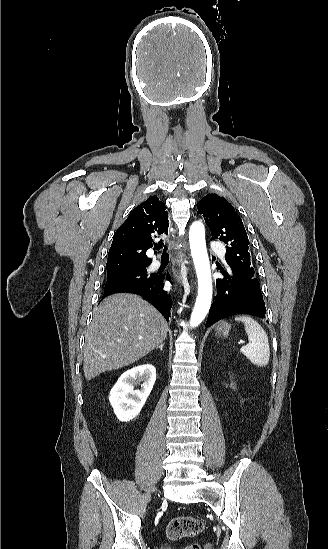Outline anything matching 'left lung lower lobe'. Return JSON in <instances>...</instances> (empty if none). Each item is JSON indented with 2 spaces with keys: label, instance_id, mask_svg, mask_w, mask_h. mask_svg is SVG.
<instances>
[{
  "label": "left lung lower lobe",
  "instance_id": "obj_1",
  "mask_svg": "<svg viewBox=\"0 0 328 549\" xmlns=\"http://www.w3.org/2000/svg\"><path fill=\"white\" fill-rule=\"evenodd\" d=\"M224 278L217 280V295L211 305L206 326L229 316L248 314L264 318L266 308L259 281L234 268L221 269Z\"/></svg>",
  "mask_w": 328,
  "mask_h": 549
}]
</instances>
